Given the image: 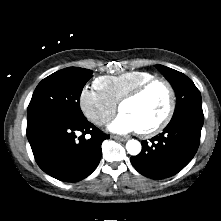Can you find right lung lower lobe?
Segmentation results:
<instances>
[{
	"label": "right lung lower lobe",
	"mask_w": 221,
	"mask_h": 221,
	"mask_svg": "<svg viewBox=\"0 0 221 221\" xmlns=\"http://www.w3.org/2000/svg\"><path fill=\"white\" fill-rule=\"evenodd\" d=\"M77 132L82 135L77 137ZM90 134L89 139L85 138ZM102 133L85 116L50 114L27 121V138L38 166L63 182H77L98 166Z\"/></svg>",
	"instance_id": "98d812e1"
}]
</instances>
